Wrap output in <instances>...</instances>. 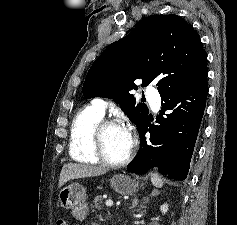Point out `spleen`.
<instances>
[{
    "label": "spleen",
    "mask_w": 237,
    "mask_h": 225,
    "mask_svg": "<svg viewBox=\"0 0 237 225\" xmlns=\"http://www.w3.org/2000/svg\"><path fill=\"white\" fill-rule=\"evenodd\" d=\"M151 181H152V183H153L155 186H157V187H161V186L163 185L162 180H161V179L159 178V176L156 175V174H153V175L151 176Z\"/></svg>",
    "instance_id": "obj_1"
}]
</instances>
